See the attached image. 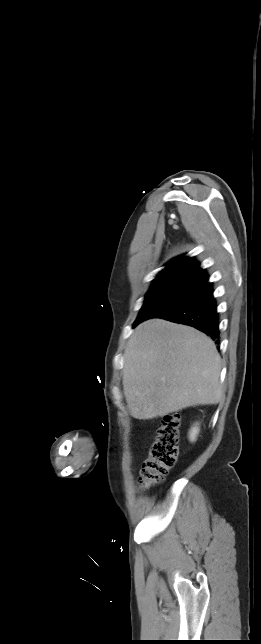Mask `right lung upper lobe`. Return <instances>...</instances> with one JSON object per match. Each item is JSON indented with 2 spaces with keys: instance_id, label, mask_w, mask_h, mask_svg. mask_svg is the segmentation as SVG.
<instances>
[{
  "instance_id": "right-lung-upper-lobe-1",
  "label": "right lung upper lobe",
  "mask_w": 261,
  "mask_h": 644,
  "mask_svg": "<svg viewBox=\"0 0 261 644\" xmlns=\"http://www.w3.org/2000/svg\"><path fill=\"white\" fill-rule=\"evenodd\" d=\"M208 274L199 267L193 258L176 257L168 262L167 267L155 278V282L183 280L203 285L208 281Z\"/></svg>"
}]
</instances>
